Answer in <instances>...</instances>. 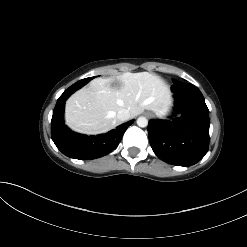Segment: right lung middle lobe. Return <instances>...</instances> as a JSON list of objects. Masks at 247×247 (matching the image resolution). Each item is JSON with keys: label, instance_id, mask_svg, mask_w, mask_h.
<instances>
[{"label": "right lung middle lobe", "instance_id": "1", "mask_svg": "<svg viewBox=\"0 0 247 247\" xmlns=\"http://www.w3.org/2000/svg\"><path fill=\"white\" fill-rule=\"evenodd\" d=\"M94 77H89V78H85L80 80L82 83L86 84L87 82H89L91 79H93Z\"/></svg>", "mask_w": 247, "mask_h": 247}]
</instances>
